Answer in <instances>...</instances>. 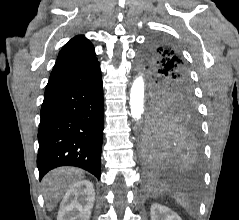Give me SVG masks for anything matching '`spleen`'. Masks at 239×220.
<instances>
[{
	"mask_svg": "<svg viewBox=\"0 0 239 220\" xmlns=\"http://www.w3.org/2000/svg\"><path fill=\"white\" fill-rule=\"evenodd\" d=\"M177 202H178L180 205H184L181 200H177Z\"/></svg>",
	"mask_w": 239,
	"mask_h": 220,
	"instance_id": "spleen-1",
	"label": "spleen"
}]
</instances>
